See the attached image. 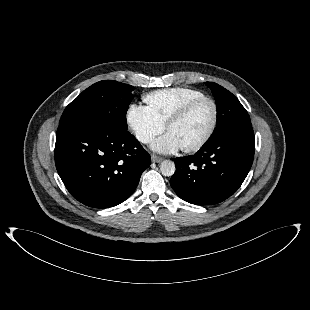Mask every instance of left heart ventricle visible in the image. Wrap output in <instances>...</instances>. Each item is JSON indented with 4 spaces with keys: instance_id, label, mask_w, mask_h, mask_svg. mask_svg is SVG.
Returning <instances> with one entry per match:
<instances>
[{
    "instance_id": "1",
    "label": "left heart ventricle",
    "mask_w": 310,
    "mask_h": 310,
    "mask_svg": "<svg viewBox=\"0 0 310 310\" xmlns=\"http://www.w3.org/2000/svg\"><path fill=\"white\" fill-rule=\"evenodd\" d=\"M212 120V107L208 102L197 105L182 121L169 128L180 140L183 147L200 141L209 129Z\"/></svg>"
}]
</instances>
